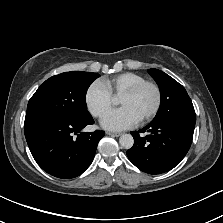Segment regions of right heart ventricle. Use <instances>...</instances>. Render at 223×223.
<instances>
[{"mask_svg":"<svg viewBox=\"0 0 223 223\" xmlns=\"http://www.w3.org/2000/svg\"><path fill=\"white\" fill-rule=\"evenodd\" d=\"M144 80L139 74L126 72L105 78L103 79V83L112 96L120 97L124 92Z\"/></svg>","mask_w":223,"mask_h":223,"instance_id":"e07e8e85","label":"right heart ventricle"}]
</instances>
